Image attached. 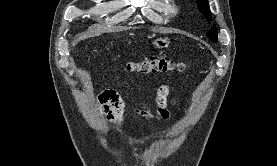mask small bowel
<instances>
[{
	"instance_id": "small-bowel-1",
	"label": "small bowel",
	"mask_w": 277,
	"mask_h": 166,
	"mask_svg": "<svg viewBox=\"0 0 277 166\" xmlns=\"http://www.w3.org/2000/svg\"><path fill=\"white\" fill-rule=\"evenodd\" d=\"M168 96V86L162 85L157 89L155 96V110L148 109L144 104H140L135 110V116L159 124L169 119L170 114L166 108ZM100 112L108 119L116 123H122L124 112L123 102L114 90H105L98 96Z\"/></svg>"
}]
</instances>
